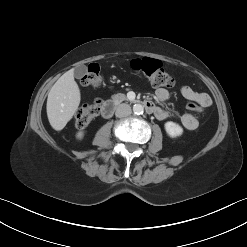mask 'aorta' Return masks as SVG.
Segmentation results:
<instances>
[{"instance_id": "1", "label": "aorta", "mask_w": 247, "mask_h": 247, "mask_svg": "<svg viewBox=\"0 0 247 247\" xmlns=\"http://www.w3.org/2000/svg\"><path fill=\"white\" fill-rule=\"evenodd\" d=\"M144 111V107L141 104H135L133 106V112L137 115L142 114Z\"/></svg>"}]
</instances>
